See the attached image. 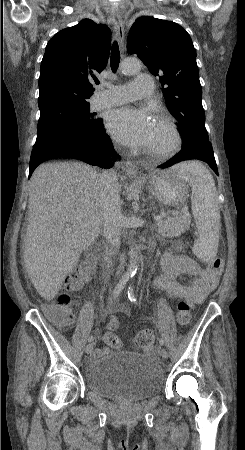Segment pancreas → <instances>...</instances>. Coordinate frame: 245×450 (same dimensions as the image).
<instances>
[{
    "label": "pancreas",
    "instance_id": "1",
    "mask_svg": "<svg viewBox=\"0 0 245 450\" xmlns=\"http://www.w3.org/2000/svg\"><path fill=\"white\" fill-rule=\"evenodd\" d=\"M191 216L188 213H182L175 217L167 216L161 221H157V232L164 237L179 236L189 228Z\"/></svg>",
    "mask_w": 245,
    "mask_h": 450
}]
</instances>
